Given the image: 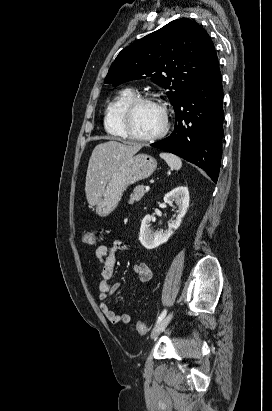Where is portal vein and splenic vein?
<instances>
[{"mask_svg": "<svg viewBox=\"0 0 272 411\" xmlns=\"http://www.w3.org/2000/svg\"><path fill=\"white\" fill-rule=\"evenodd\" d=\"M145 189H146V191H149V190H150V187H149V186H145Z\"/></svg>", "mask_w": 272, "mask_h": 411, "instance_id": "1", "label": "portal vein and splenic vein"}]
</instances>
